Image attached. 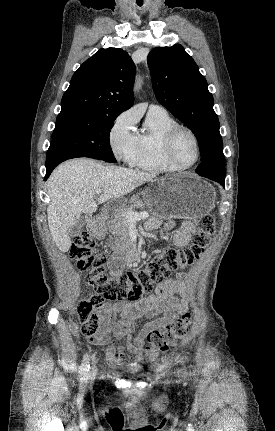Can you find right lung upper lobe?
Returning a JSON list of instances; mask_svg holds the SVG:
<instances>
[{
	"label": "right lung upper lobe",
	"instance_id": "cb5924a9",
	"mask_svg": "<svg viewBox=\"0 0 275 431\" xmlns=\"http://www.w3.org/2000/svg\"><path fill=\"white\" fill-rule=\"evenodd\" d=\"M135 65L119 48L100 49L74 73L60 114L84 111L121 113L134 102Z\"/></svg>",
	"mask_w": 275,
	"mask_h": 431
}]
</instances>
